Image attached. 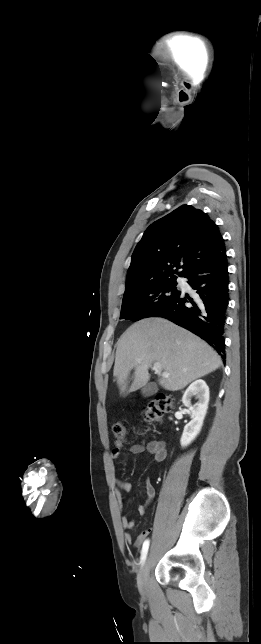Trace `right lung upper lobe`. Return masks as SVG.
Here are the masks:
<instances>
[{"label": "right lung upper lobe", "instance_id": "1", "mask_svg": "<svg viewBox=\"0 0 261 644\" xmlns=\"http://www.w3.org/2000/svg\"><path fill=\"white\" fill-rule=\"evenodd\" d=\"M218 226L209 216L183 205L151 224L138 242L128 269L126 289L158 280L184 276L226 255Z\"/></svg>", "mask_w": 261, "mask_h": 644}]
</instances>
